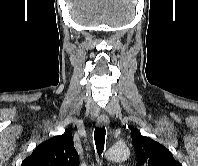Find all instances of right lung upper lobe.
<instances>
[{"label": "right lung upper lobe", "mask_w": 198, "mask_h": 166, "mask_svg": "<svg viewBox=\"0 0 198 166\" xmlns=\"http://www.w3.org/2000/svg\"><path fill=\"white\" fill-rule=\"evenodd\" d=\"M21 166H79L71 131L39 144Z\"/></svg>", "instance_id": "obj_1"}]
</instances>
